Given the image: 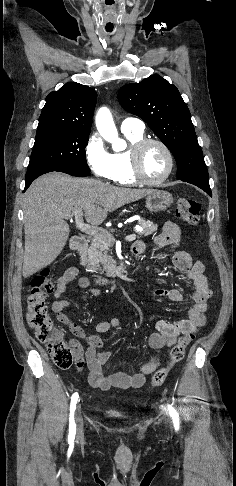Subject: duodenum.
Here are the masks:
<instances>
[{
	"mask_svg": "<svg viewBox=\"0 0 236 486\" xmlns=\"http://www.w3.org/2000/svg\"><path fill=\"white\" fill-rule=\"evenodd\" d=\"M88 241L84 236H74L71 240V249L74 253H81L87 247ZM119 278L116 276L110 278H97L96 282L101 286L117 284Z\"/></svg>",
	"mask_w": 236,
	"mask_h": 486,
	"instance_id": "obj_1",
	"label": "duodenum"
}]
</instances>
